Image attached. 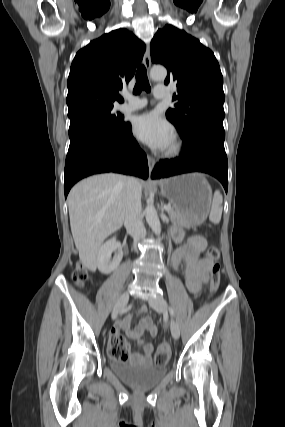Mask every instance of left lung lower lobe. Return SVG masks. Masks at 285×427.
Listing matches in <instances>:
<instances>
[{"mask_svg": "<svg viewBox=\"0 0 285 427\" xmlns=\"http://www.w3.org/2000/svg\"><path fill=\"white\" fill-rule=\"evenodd\" d=\"M181 138L184 144L182 155L160 160L152 172V178L204 172L220 180L227 192L228 163L224 149V128L206 123Z\"/></svg>", "mask_w": 285, "mask_h": 427, "instance_id": "left-lung-lower-lobe-1", "label": "left lung lower lobe"}]
</instances>
